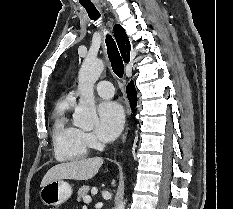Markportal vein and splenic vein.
I'll return each mask as SVG.
<instances>
[{
	"mask_svg": "<svg viewBox=\"0 0 233 209\" xmlns=\"http://www.w3.org/2000/svg\"><path fill=\"white\" fill-rule=\"evenodd\" d=\"M91 201H92V199L90 196L84 197V203L89 204V203H91Z\"/></svg>",
	"mask_w": 233,
	"mask_h": 209,
	"instance_id": "1",
	"label": "portal vein and splenic vein"
}]
</instances>
